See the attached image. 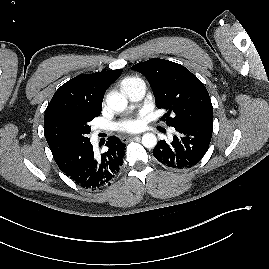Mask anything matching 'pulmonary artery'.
<instances>
[{
	"mask_svg": "<svg viewBox=\"0 0 269 269\" xmlns=\"http://www.w3.org/2000/svg\"><path fill=\"white\" fill-rule=\"evenodd\" d=\"M122 91L132 102H138L144 97L146 86L144 82L140 80L122 89Z\"/></svg>",
	"mask_w": 269,
	"mask_h": 269,
	"instance_id": "pulmonary-artery-1",
	"label": "pulmonary artery"
}]
</instances>
